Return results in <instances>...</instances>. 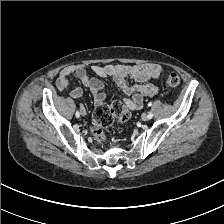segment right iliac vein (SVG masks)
<instances>
[{
    "label": "right iliac vein",
    "mask_w": 224,
    "mask_h": 224,
    "mask_svg": "<svg viewBox=\"0 0 224 224\" xmlns=\"http://www.w3.org/2000/svg\"><path fill=\"white\" fill-rule=\"evenodd\" d=\"M81 115L82 116H85L86 115V111H85V109L83 107L81 108Z\"/></svg>",
    "instance_id": "1"
}]
</instances>
